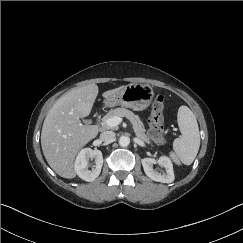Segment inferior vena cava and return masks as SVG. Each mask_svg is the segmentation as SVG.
<instances>
[{"instance_id":"1","label":"inferior vena cava","mask_w":243,"mask_h":243,"mask_svg":"<svg viewBox=\"0 0 243 243\" xmlns=\"http://www.w3.org/2000/svg\"><path fill=\"white\" fill-rule=\"evenodd\" d=\"M115 138V133L113 131H104L100 134L101 141L105 143L111 142Z\"/></svg>"}]
</instances>
